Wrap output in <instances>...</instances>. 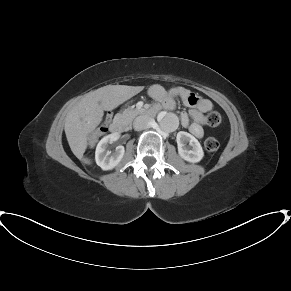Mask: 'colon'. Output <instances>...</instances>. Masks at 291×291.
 <instances>
[{"label":"colon","mask_w":291,"mask_h":291,"mask_svg":"<svg viewBox=\"0 0 291 291\" xmlns=\"http://www.w3.org/2000/svg\"><path fill=\"white\" fill-rule=\"evenodd\" d=\"M205 122L208 126L215 127L222 122V117L217 111L209 112L205 117ZM205 149L208 152H215L219 148V142L214 137H209L205 140Z\"/></svg>","instance_id":"colon-1"}]
</instances>
